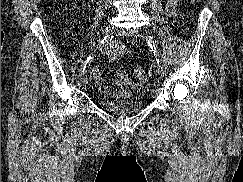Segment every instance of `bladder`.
I'll use <instances>...</instances> for the list:
<instances>
[{"instance_id":"bladder-1","label":"bladder","mask_w":243,"mask_h":182,"mask_svg":"<svg viewBox=\"0 0 243 182\" xmlns=\"http://www.w3.org/2000/svg\"><path fill=\"white\" fill-rule=\"evenodd\" d=\"M97 103L107 113L115 115L133 114L143 109L141 98L135 95L118 98L104 92L97 96Z\"/></svg>"}]
</instances>
